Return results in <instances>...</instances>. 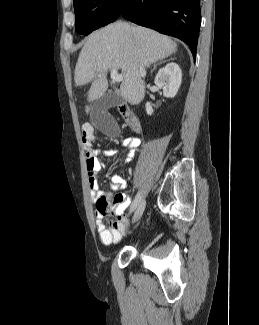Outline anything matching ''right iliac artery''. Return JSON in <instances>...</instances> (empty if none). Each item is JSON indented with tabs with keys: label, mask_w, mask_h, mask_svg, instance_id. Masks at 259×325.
Masks as SVG:
<instances>
[{
	"label": "right iliac artery",
	"mask_w": 259,
	"mask_h": 325,
	"mask_svg": "<svg viewBox=\"0 0 259 325\" xmlns=\"http://www.w3.org/2000/svg\"><path fill=\"white\" fill-rule=\"evenodd\" d=\"M138 185V187H139V191H138V193H137V195L135 196V198H134V200H133V202H132V204H131V207H130V211H134L135 209H136V207H137V205H138V203H139V201H140V199H141V189H140V184L138 183L137 184Z\"/></svg>",
	"instance_id": "obj_1"
}]
</instances>
